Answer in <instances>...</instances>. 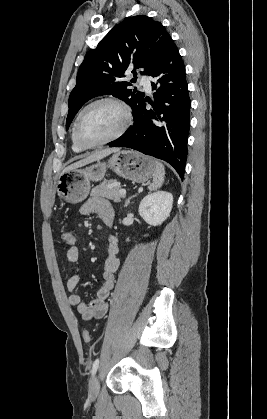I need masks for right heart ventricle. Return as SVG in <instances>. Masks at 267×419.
<instances>
[{
	"label": "right heart ventricle",
	"instance_id": "1",
	"mask_svg": "<svg viewBox=\"0 0 267 419\" xmlns=\"http://www.w3.org/2000/svg\"><path fill=\"white\" fill-rule=\"evenodd\" d=\"M72 147H73V150L75 152H82V151H84V148H82L81 146H79L78 143L75 141L74 136H73V133H72Z\"/></svg>",
	"mask_w": 267,
	"mask_h": 419
}]
</instances>
